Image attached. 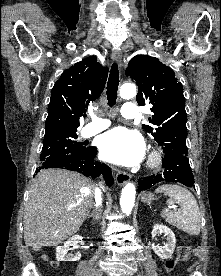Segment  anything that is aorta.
I'll list each match as a JSON object with an SVG mask.
<instances>
[{
	"mask_svg": "<svg viewBox=\"0 0 221 276\" xmlns=\"http://www.w3.org/2000/svg\"><path fill=\"white\" fill-rule=\"evenodd\" d=\"M137 89L134 84L126 83L120 88V96L124 99H130L136 96ZM136 189L133 183H127L122 189L120 206L123 213L129 215L135 202Z\"/></svg>",
	"mask_w": 221,
	"mask_h": 276,
	"instance_id": "aorta-1",
	"label": "aorta"
}]
</instances>
